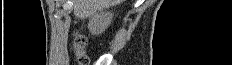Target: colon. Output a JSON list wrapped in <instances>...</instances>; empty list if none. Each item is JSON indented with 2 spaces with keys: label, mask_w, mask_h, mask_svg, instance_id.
Masks as SVG:
<instances>
[{
  "label": "colon",
  "mask_w": 232,
  "mask_h": 65,
  "mask_svg": "<svg viewBox=\"0 0 232 65\" xmlns=\"http://www.w3.org/2000/svg\"><path fill=\"white\" fill-rule=\"evenodd\" d=\"M86 38L81 34H76L72 41V49L75 53V60L79 65H88L89 59L85 54Z\"/></svg>",
  "instance_id": "colon-1"
}]
</instances>
